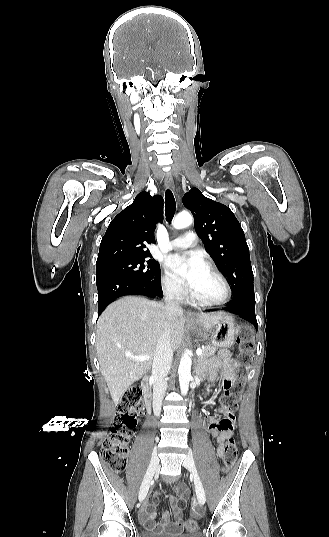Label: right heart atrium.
I'll use <instances>...</instances> for the list:
<instances>
[{
	"mask_svg": "<svg viewBox=\"0 0 329 537\" xmlns=\"http://www.w3.org/2000/svg\"><path fill=\"white\" fill-rule=\"evenodd\" d=\"M164 293L174 300H180L184 296V287L181 282L169 271H165L161 279Z\"/></svg>",
	"mask_w": 329,
	"mask_h": 537,
	"instance_id": "1",
	"label": "right heart atrium"
}]
</instances>
